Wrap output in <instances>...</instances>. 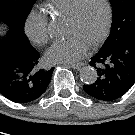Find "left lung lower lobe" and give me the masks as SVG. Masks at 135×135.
<instances>
[{
  "instance_id": "left-lung-lower-lobe-1",
  "label": "left lung lower lobe",
  "mask_w": 135,
  "mask_h": 135,
  "mask_svg": "<svg viewBox=\"0 0 135 135\" xmlns=\"http://www.w3.org/2000/svg\"><path fill=\"white\" fill-rule=\"evenodd\" d=\"M97 80L84 85V91L99 100L113 101L123 96L135 83V34L101 48L91 58Z\"/></svg>"
}]
</instances>
